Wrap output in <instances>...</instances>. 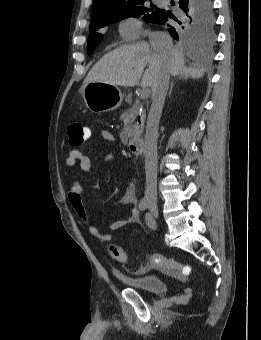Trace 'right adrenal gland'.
<instances>
[{
	"label": "right adrenal gland",
	"instance_id": "2a0ac1e0",
	"mask_svg": "<svg viewBox=\"0 0 261 340\" xmlns=\"http://www.w3.org/2000/svg\"><path fill=\"white\" fill-rule=\"evenodd\" d=\"M173 86H174V84H173V82H172V83H171V86H170V90H169V96H170L171 93H172Z\"/></svg>",
	"mask_w": 261,
	"mask_h": 340
}]
</instances>
